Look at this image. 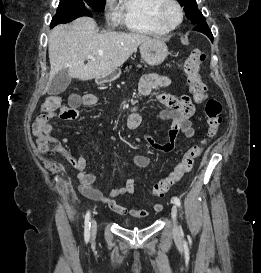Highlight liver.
<instances>
[{
  "instance_id": "liver-1",
  "label": "liver",
  "mask_w": 261,
  "mask_h": 273,
  "mask_svg": "<svg viewBox=\"0 0 261 273\" xmlns=\"http://www.w3.org/2000/svg\"><path fill=\"white\" fill-rule=\"evenodd\" d=\"M152 38L139 33L107 32L99 34L94 19L80 17L67 25H58L49 34L50 74L44 94L62 69L69 76L87 81L105 78L123 65L138 46ZM91 55L85 64V60Z\"/></svg>"
}]
</instances>
